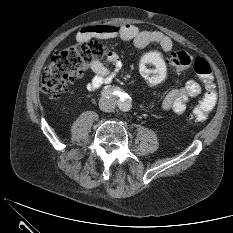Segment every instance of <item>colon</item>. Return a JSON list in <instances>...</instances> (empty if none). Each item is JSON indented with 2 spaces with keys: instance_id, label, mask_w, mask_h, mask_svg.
Masks as SVG:
<instances>
[{
  "instance_id": "colon-1",
  "label": "colon",
  "mask_w": 233,
  "mask_h": 233,
  "mask_svg": "<svg viewBox=\"0 0 233 233\" xmlns=\"http://www.w3.org/2000/svg\"><path fill=\"white\" fill-rule=\"evenodd\" d=\"M105 53L104 44L98 40L79 41L59 50L42 72V89L53 96L66 93L71 83L88 71L90 63L103 57ZM167 65H171L176 70H184L192 65L195 73L204 83L203 98L188 114V119L192 123L204 122L217 99L211 66L202 57L193 60L192 56L183 50L172 53L168 59L160 51L150 50L140 60V72L148 84L157 85L164 80Z\"/></svg>"
}]
</instances>
